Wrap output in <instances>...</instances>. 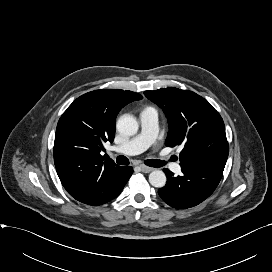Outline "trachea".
<instances>
[{"mask_svg":"<svg viewBox=\"0 0 272 272\" xmlns=\"http://www.w3.org/2000/svg\"><path fill=\"white\" fill-rule=\"evenodd\" d=\"M116 162L119 165H128L129 164V159L123 155L118 156L116 158ZM145 164L150 166V167H162L163 165H165V162L161 161V160H157V159H149L145 161Z\"/></svg>","mask_w":272,"mask_h":272,"instance_id":"obj_1","label":"trachea"}]
</instances>
